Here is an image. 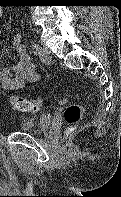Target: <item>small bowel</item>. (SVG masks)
Returning a JSON list of instances; mask_svg holds the SVG:
<instances>
[{"instance_id": "obj_1", "label": "small bowel", "mask_w": 121, "mask_h": 197, "mask_svg": "<svg viewBox=\"0 0 121 197\" xmlns=\"http://www.w3.org/2000/svg\"><path fill=\"white\" fill-rule=\"evenodd\" d=\"M3 11L0 8V19ZM12 49L17 55L15 64L0 71V85L7 90H19L27 82L36 81L38 75L19 34L14 35Z\"/></svg>"}]
</instances>
